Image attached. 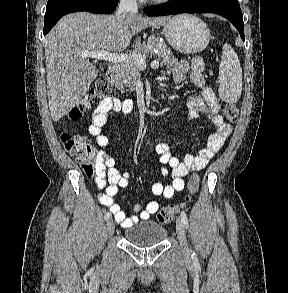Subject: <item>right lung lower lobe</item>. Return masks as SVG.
Segmentation results:
<instances>
[{"instance_id":"obj_1","label":"right lung lower lobe","mask_w":288,"mask_h":293,"mask_svg":"<svg viewBox=\"0 0 288 293\" xmlns=\"http://www.w3.org/2000/svg\"><path fill=\"white\" fill-rule=\"evenodd\" d=\"M118 5V0H65L46 8L44 30L46 35L58 20L66 14L88 11L98 14H110Z\"/></svg>"}]
</instances>
